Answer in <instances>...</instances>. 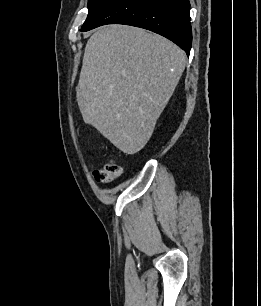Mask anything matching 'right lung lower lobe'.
Masks as SVG:
<instances>
[{
    "instance_id": "1",
    "label": "right lung lower lobe",
    "mask_w": 261,
    "mask_h": 306,
    "mask_svg": "<svg viewBox=\"0 0 261 306\" xmlns=\"http://www.w3.org/2000/svg\"><path fill=\"white\" fill-rule=\"evenodd\" d=\"M105 24H126L158 33L180 46L187 55L192 45L189 0H113L85 32Z\"/></svg>"
}]
</instances>
